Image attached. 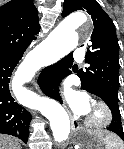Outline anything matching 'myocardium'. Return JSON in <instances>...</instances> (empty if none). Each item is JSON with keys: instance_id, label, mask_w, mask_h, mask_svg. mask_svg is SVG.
Here are the masks:
<instances>
[{"instance_id": "obj_1", "label": "myocardium", "mask_w": 124, "mask_h": 149, "mask_svg": "<svg viewBox=\"0 0 124 149\" xmlns=\"http://www.w3.org/2000/svg\"><path fill=\"white\" fill-rule=\"evenodd\" d=\"M92 110L94 114L85 119V125L93 130H102L107 128L112 120L113 113L110 106L102 101L97 100L93 103Z\"/></svg>"}]
</instances>
